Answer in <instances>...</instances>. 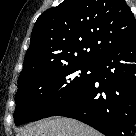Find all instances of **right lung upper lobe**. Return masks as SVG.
I'll list each match as a JSON object with an SVG mask.
<instances>
[{"label":"right lung upper lobe","mask_w":136,"mask_h":136,"mask_svg":"<svg viewBox=\"0 0 136 136\" xmlns=\"http://www.w3.org/2000/svg\"><path fill=\"white\" fill-rule=\"evenodd\" d=\"M135 37L136 19L124 0H65L37 19L18 82L52 66L94 64Z\"/></svg>","instance_id":"1"}]
</instances>
